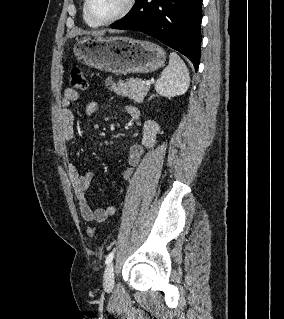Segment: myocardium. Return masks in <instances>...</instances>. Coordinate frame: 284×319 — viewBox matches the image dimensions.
<instances>
[{
	"label": "myocardium",
	"mask_w": 284,
	"mask_h": 319,
	"mask_svg": "<svg viewBox=\"0 0 284 319\" xmlns=\"http://www.w3.org/2000/svg\"><path fill=\"white\" fill-rule=\"evenodd\" d=\"M134 4H135V0H125L122 9L115 16H113L107 20H98L92 16V14L90 12V0H84L83 8H84V13H85L86 17L93 24H95L97 26H106V25L113 24V23L125 18L132 10Z\"/></svg>",
	"instance_id": "f54148a6"
}]
</instances>
